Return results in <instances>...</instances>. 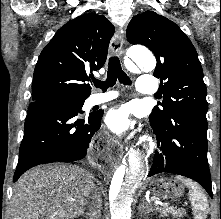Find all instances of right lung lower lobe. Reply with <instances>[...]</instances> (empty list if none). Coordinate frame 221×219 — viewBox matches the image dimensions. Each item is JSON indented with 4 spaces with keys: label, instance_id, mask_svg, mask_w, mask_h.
<instances>
[{
    "label": "right lung lower lobe",
    "instance_id": "98d812e1",
    "mask_svg": "<svg viewBox=\"0 0 221 219\" xmlns=\"http://www.w3.org/2000/svg\"><path fill=\"white\" fill-rule=\"evenodd\" d=\"M80 113L75 101L30 103L14 182L39 164L78 161L86 154L98 158L105 152L104 144L94 137L103 111Z\"/></svg>",
    "mask_w": 221,
    "mask_h": 219
}]
</instances>
